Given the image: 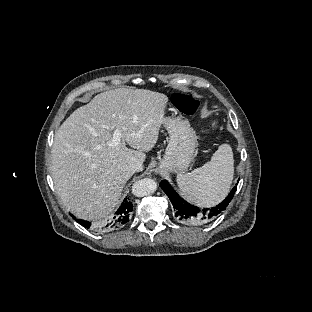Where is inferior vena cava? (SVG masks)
Here are the masks:
<instances>
[{
  "instance_id": "602c4592",
  "label": "inferior vena cava",
  "mask_w": 312,
  "mask_h": 312,
  "mask_svg": "<svg viewBox=\"0 0 312 312\" xmlns=\"http://www.w3.org/2000/svg\"><path fill=\"white\" fill-rule=\"evenodd\" d=\"M143 170L142 163L139 161H134L129 165L128 171L131 174H134L135 172H140Z\"/></svg>"
}]
</instances>
